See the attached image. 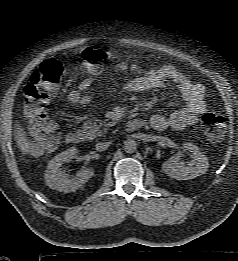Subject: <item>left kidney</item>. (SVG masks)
<instances>
[{"instance_id":"left-kidney-1","label":"left kidney","mask_w":238,"mask_h":261,"mask_svg":"<svg viewBox=\"0 0 238 261\" xmlns=\"http://www.w3.org/2000/svg\"><path fill=\"white\" fill-rule=\"evenodd\" d=\"M183 149L193 154V160L189 165L180 161V155L170 157L162 165V170L171 178L177 180H189L205 174L209 168L207 157L193 143L187 142Z\"/></svg>"}]
</instances>
